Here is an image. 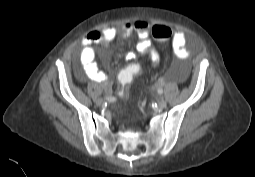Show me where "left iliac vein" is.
<instances>
[{
	"instance_id": "left-iliac-vein-1",
	"label": "left iliac vein",
	"mask_w": 255,
	"mask_h": 177,
	"mask_svg": "<svg viewBox=\"0 0 255 177\" xmlns=\"http://www.w3.org/2000/svg\"><path fill=\"white\" fill-rule=\"evenodd\" d=\"M157 106L159 109H164L167 106V102L163 98H161L158 100Z\"/></svg>"
}]
</instances>
